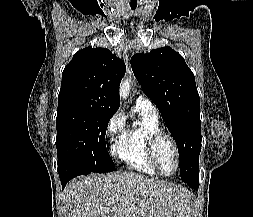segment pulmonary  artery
I'll list each match as a JSON object with an SVG mask.
<instances>
[{
  "label": "pulmonary artery",
  "mask_w": 253,
  "mask_h": 217,
  "mask_svg": "<svg viewBox=\"0 0 253 217\" xmlns=\"http://www.w3.org/2000/svg\"><path fill=\"white\" fill-rule=\"evenodd\" d=\"M136 107L144 109L153 115L158 116V109L154 103L147 97L139 95L136 99Z\"/></svg>",
  "instance_id": "pulmonary-artery-1"
}]
</instances>
